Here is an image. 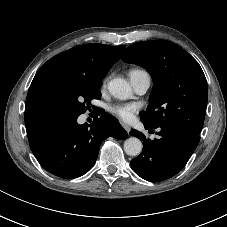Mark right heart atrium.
Here are the masks:
<instances>
[{
  "label": "right heart atrium",
  "instance_id": "obj_1",
  "mask_svg": "<svg viewBox=\"0 0 227 227\" xmlns=\"http://www.w3.org/2000/svg\"><path fill=\"white\" fill-rule=\"evenodd\" d=\"M107 82H108V78H105L103 81V86H106Z\"/></svg>",
  "mask_w": 227,
  "mask_h": 227
}]
</instances>
